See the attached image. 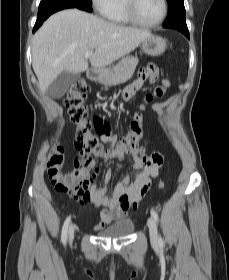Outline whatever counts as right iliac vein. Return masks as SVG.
Wrapping results in <instances>:
<instances>
[{
  "mask_svg": "<svg viewBox=\"0 0 229 280\" xmlns=\"http://www.w3.org/2000/svg\"><path fill=\"white\" fill-rule=\"evenodd\" d=\"M74 238V226H70L69 228V241L72 242Z\"/></svg>",
  "mask_w": 229,
  "mask_h": 280,
  "instance_id": "right-iliac-vein-1",
  "label": "right iliac vein"
}]
</instances>
